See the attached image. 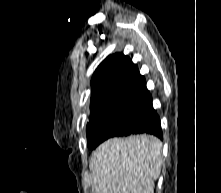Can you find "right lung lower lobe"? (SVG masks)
Returning <instances> with one entry per match:
<instances>
[{"mask_svg":"<svg viewBox=\"0 0 221 193\" xmlns=\"http://www.w3.org/2000/svg\"><path fill=\"white\" fill-rule=\"evenodd\" d=\"M140 133L152 134L160 138L161 140L163 139L160 119L154 109L144 121H142L134 128L130 129L129 131L123 133L120 136H128L131 134H140Z\"/></svg>","mask_w":221,"mask_h":193,"instance_id":"right-lung-lower-lobe-1","label":"right lung lower lobe"}]
</instances>
